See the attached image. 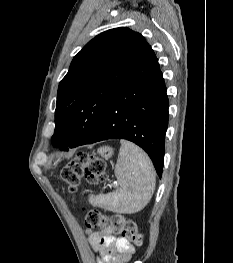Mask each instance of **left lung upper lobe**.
<instances>
[{"mask_svg":"<svg viewBox=\"0 0 233 263\" xmlns=\"http://www.w3.org/2000/svg\"><path fill=\"white\" fill-rule=\"evenodd\" d=\"M149 48L141 34L124 27L85 45L59 84L53 137L84 141Z\"/></svg>","mask_w":233,"mask_h":263,"instance_id":"obj_1","label":"left lung upper lobe"}]
</instances>
